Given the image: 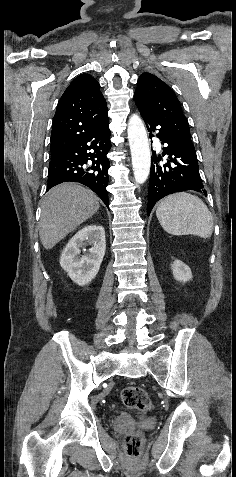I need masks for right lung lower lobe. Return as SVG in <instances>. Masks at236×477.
I'll use <instances>...</instances> for the list:
<instances>
[{"mask_svg": "<svg viewBox=\"0 0 236 477\" xmlns=\"http://www.w3.org/2000/svg\"><path fill=\"white\" fill-rule=\"evenodd\" d=\"M111 148L109 122L92 131L63 154L51 158L47 190L63 182H79L93 190L109 206L106 187L109 182Z\"/></svg>", "mask_w": 236, "mask_h": 477, "instance_id": "obj_1", "label": "right lung lower lobe"}]
</instances>
